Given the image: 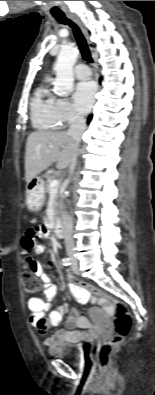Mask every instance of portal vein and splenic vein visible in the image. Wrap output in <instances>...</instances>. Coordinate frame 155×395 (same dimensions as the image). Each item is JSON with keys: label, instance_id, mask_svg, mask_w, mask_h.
Returning <instances> with one entry per match:
<instances>
[{"label": "portal vein and splenic vein", "instance_id": "obj_1", "mask_svg": "<svg viewBox=\"0 0 155 395\" xmlns=\"http://www.w3.org/2000/svg\"><path fill=\"white\" fill-rule=\"evenodd\" d=\"M59 186V181L57 179H54L50 182V188L52 191H57Z\"/></svg>", "mask_w": 155, "mask_h": 395}]
</instances>
